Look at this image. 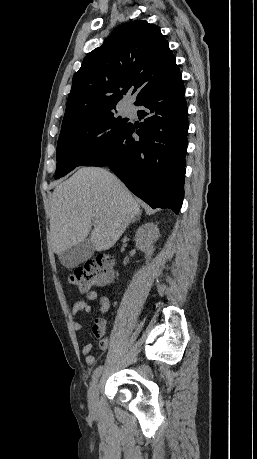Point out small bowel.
I'll use <instances>...</instances> for the list:
<instances>
[{
    "mask_svg": "<svg viewBox=\"0 0 257 459\" xmlns=\"http://www.w3.org/2000/svg\"><path fill=\"white\" fill-rule=\"evenodd\" d=\"M98 299V293L94 290H88L85 293V298L77 300L73 307L71 314L76 318L73 322V328L75 331H81L84 329V325L80 318L83 315L89 314L91 311L90 302H93ZM110 308V301L106 296H101L99 298V310L102 314H106ZM93 335L98 339L99 347L102 350H107L109 347V339L106 332V320L103 317L96 318L92 326ZM93 345L92 343H87L82 348V354L85 357V362L88 366H93L95 364L96 358L92 353Z\"/></svg>",
    "mask_w": 257,
    "mask_h": 459,
    "instance_id": "1",
    "label": "small bowel"
}]
</instances>
